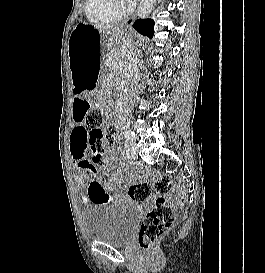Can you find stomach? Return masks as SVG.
Listing matches in <instances>:
<instances>
[{
	"label": "stomach",
	"instance_id": "obj_1",
	"mask_svg": "<svg viewBox=\"0 0 265 273\" xmlns=\"http://www.w3.org/2000/svg\"><path fill=\"white\" fill-rule=\"evenodd\" d=\"M133 37L132 30L125 27L113 34L86 23L76 25L68 42L74 95H93L99 85L97 78H108L113 64H125L128 60V55H112L111 51L103 55L105 49H148L150 40H136L132 44Z\"/></svg>",
	"mask_w": 265,
	"mask_h": 273
}]
</instances>
